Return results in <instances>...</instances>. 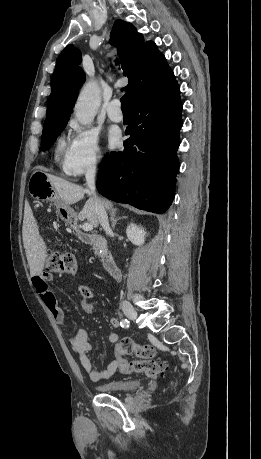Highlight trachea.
<instances>
[{"instance_id":"trachea-1","label":"trachea","mask_w":261,"mask_h":459,"mask_svg":"<svg viewBox=\"0 0 261 459\" xmlns=\"http://www.w3.org/2000/svg\"><path fill=\"white\" fill-rule=\"evenodd\" d=\"M115 61L117 62V64L119 63V62H118V59H116ZM121 106H122V110L130 111L129 94H128V93H126V94L121 98Z\"/></svg>"}]
</instances>
